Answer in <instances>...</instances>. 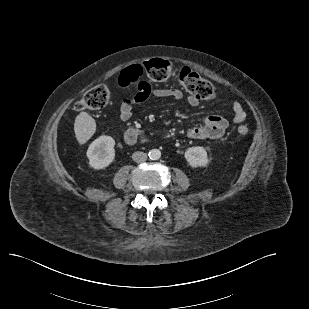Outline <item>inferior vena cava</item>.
<instances>
[{
	"instance_id": "obj_1",
	"label": "inferior vena cava",
	"mask_w": 309,
	"mask_h": 309,
	"mask_svg": "<svg viewBox=\"0 0 309 309\" xmlns=\"http://www.w3.org/2000/svg\"><path fill=\"white\" fill-rule=\"evenodd\" d=\"M132 159L135 162L142 163L147 160V154L141 151L134 152L132 155Z\"/></svg>"
}]
</instances>
